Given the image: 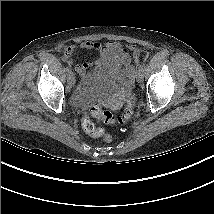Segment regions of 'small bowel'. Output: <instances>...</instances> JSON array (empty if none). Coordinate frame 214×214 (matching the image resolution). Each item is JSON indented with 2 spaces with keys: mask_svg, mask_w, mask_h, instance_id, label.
<instances>
[{
  "mask_svg": "<svg viewBox=\"0 0 214 214\" xmlns=\"http://www.w3.org/2000/svg\"><path fill=\"white\" fill-rule=\"evenodd\" d=\"M77 48L95 50L98 52V59L95 62L87 61L76 65V71L81 75H83L85 71L93 65H96L99 69H103L110 63L116 64L118 60L123 63L128 74L132 69V59L126 48L119 42L108 41L102 44L96 41H85L80 43L78 46H70L68 49L69 53L72 54V52ZM127 48L132 52L134 62L138 63L141 56L140 49L132 44L128 45ZM117 53L120 54L121 58L117 56ZM65 59L67 60L68 57H65ZM68 62L70 63V61Z\"/></svg>",
  "mask_w": 214,
  "mask_h": 214,
  "instance_id": "c3829d8e",
  "label": "small bowel"
}]
</instances>
